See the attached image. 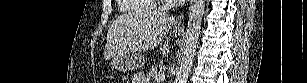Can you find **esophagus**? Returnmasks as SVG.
I'll list each match as a JSON object with an SVG mask.
<instances>
[{"instance_id":"obj_1","label":"esophagus","mask_w":307,"mask_h":83,"mask_svg":"<svg viewBox=\"0 0 307 83\" xmlns=\"http://www.w3.org/2000/svg\"><path fill=\"white\" fill-rule=\"evenodd\" d=\"M177 28L184 29V12H181L177 18Z\"/></svg>"}]
</instances>
